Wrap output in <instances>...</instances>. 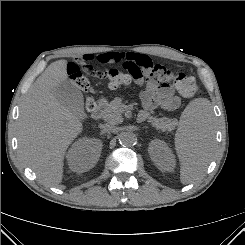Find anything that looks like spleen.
I'll return each mask as SVG.
<instances>
[{"instance_id": "1", "label": "spleen", "mask_w": 245, "mask_h": 245, "mask_svg": "<svg viewBox=\"0 0 245 245\" xmlns=\"http://www.w3.org/2000/svg\"><path fill=\"white\" fill-rule=\"evenodd\" d=\"M214 139L213 112L206 98L192 100L180 117L175 149L181 164L180 180L189 184L205 171L210 162Z\"/></svg>"}]
</instances>
